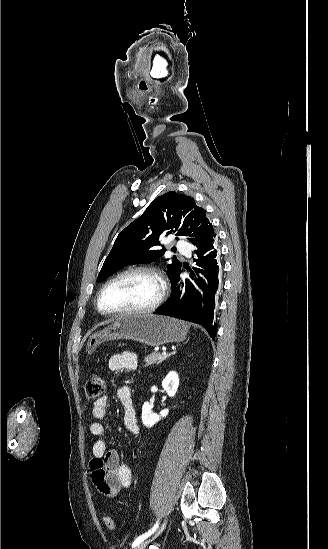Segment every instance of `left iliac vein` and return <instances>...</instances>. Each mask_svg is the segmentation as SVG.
<instances>
[{"instance_id": "1", "label": "left iliac vein", "mask_w": 328, "mask_h": 549, "mask_svg": "<svg viewBox=\"0 0 328 549\" xmlns=\"http://www.w3.org/2000/svg\"><path fill=\"white\" fill-rule=\"evenodd\" d=\"M166 523H167V521L165 520V521L163 522V524L161 525L159 531L156 533V536L160 535L161 532L165 529ZM150 541H151V539H150V540H146V541H144V542H141L140 544H138L137 546H135L134 549H144L145 545L148 544Z\"/></svg>"}]
</instances>
